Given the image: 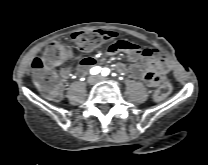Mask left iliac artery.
Here are the masks:
<instances>
[{
    "label": "left iliac artery",
    "instance_id": "obj_1",
    "mask_svg": "<svg viewBox=\"0 0 208 165\" xmlns=\"http://www.w3.org/2000/svg\"><path fill=\"white\" fill-rule=\"evenodd\" d=\"M109 74V69L108 68H104L102 71V75L103 76H107Z\"/></svg>",
    "mask_w": 208,
    "mask_h": 165
}]
</instances>
